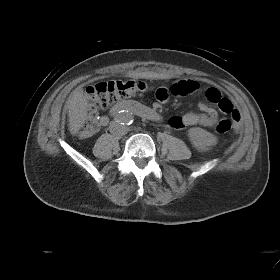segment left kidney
<instances>
[{
  "label": "left kidney",
  "instance_id": "1",
  "mask_svg": "<svg viewBox=\"0 0 280 280\" xmlns=\"http://www.w3.org/2000/svg\"><path fill=\"white\" fill-rule=\"evenodd\" d=\"M188 136L193 146L201 151H206L217 143V138L202 128H191Z\"/></svg>",
  "mask_w": 280,
  "mask_h": 280
}]
</instances>
